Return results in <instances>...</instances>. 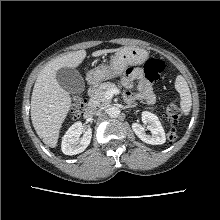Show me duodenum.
<instances>
[{
  "label": "duodenum",
  "mask_w": 220,
  "mask_h": 220,
  "mask_svg": "<svg viewBox=\"0 0 220 220\" xmlns=\"http://www.w3.org/2000/svg\"><path fill=\"white\" fill-rule=\"evenodd\" d=\"M93 90H94V87L90 86L88 89L90 96L93 94ZM94 110H95V101L91 98L89 100V103H88L86 109H85V113H84L85 117H91L94 113Z\"/></svg>",
  "instance_id": "410a0bca"
}]
</instances>
